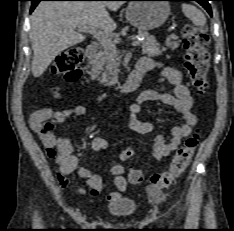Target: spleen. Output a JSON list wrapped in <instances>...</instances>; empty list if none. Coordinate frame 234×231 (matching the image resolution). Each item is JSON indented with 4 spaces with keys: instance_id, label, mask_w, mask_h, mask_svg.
<instances>
[{
    "instance_id": "spleen-1",
    "label": "spleen",
    "mask_w": 234,
    "mask_h": 231,
    "mask_svg": "<svg viewBox=\"0 0 234 231\" xmlns=\"http://www.w3.org/2000/svg\"><path fill=\"white\" fill-rule=\"evenodd\" d=\"M182 11L184 15L189 18L194 25L196 26H204L206 24V17L197 7L194 5L183 3Z\"/></svg>"
}]
</instances>
